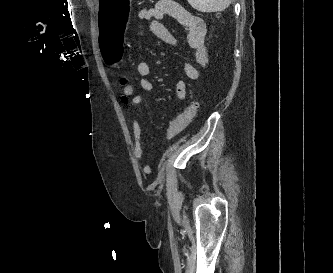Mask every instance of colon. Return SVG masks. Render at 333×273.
Segmentation results:
<instances>
[{
	"label": "colon",
	"instance_id": "5ec220e1",
	"mask_svg": "<svg viewBox=\"0 0 333 273\" xmlns=\"http://www.w3.org/2000/svg\"><path fill=\"white\" fill-rule=\"evenodd\" d=\"M119 86H120L122 101L124 103H128L133 95L132 84L127 78L122 77L119 80ZM199 107H200V102L194 101L182 113H180L174 119H172L169 122L167 128V133H166L167 139H172L176 137L179 133H181L193 120Z\"/></svg>",
	"mask_w": 333,
	"mask_h": 273
}]
</instances>
